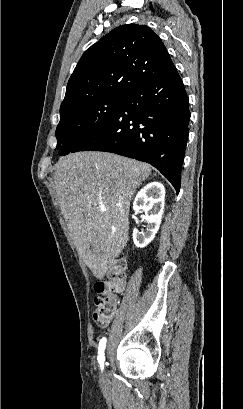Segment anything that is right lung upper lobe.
Instances as JSON below:
<instances>
[{"instance_id":"cb5924a9","label":"right lung upper lobe","mask_w":243,"mask_h":409,"mask_svg":"<svg viewBox=\"0 0 243 409\" xmlns=\"http://www.w3.org/2000/svg\"><path fill=\"white\" fill-rule=\"evenodd\" d=\"M176 70L161 39L148 26H119L82 55L60 109L95 98L126 97Z\"/></svg>"}]
</instances>
